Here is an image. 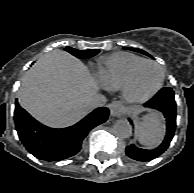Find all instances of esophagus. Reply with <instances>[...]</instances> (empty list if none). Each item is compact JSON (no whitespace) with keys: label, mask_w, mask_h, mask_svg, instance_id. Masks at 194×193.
<instances>
[{"label":"esophagus","mask_w":194,"mask_h":193,"mask_svg":"<svg viewBox=\"0 0 194 193\" xmlns=\"http://www.w3.org/2000/svg\"><path fill=\"white\" fill-rule=\"evenodd\" d=\"M110 115L113 117H119L123 112V105L119 101H114L108 105Z\"/></svg>","instance_id":"1"}]
</instances>
